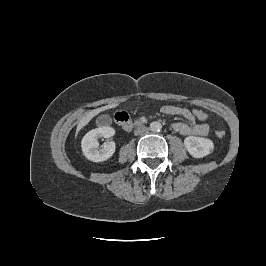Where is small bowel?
Listing matches in <instances>:
<instances>
[{
	"label": "small bowel",
	"instance_id": "1",
	"mask_svg": "<svg viewBox=\"0 0 266 266\" xmlns=\"http://www.w3.org/2000/svg\"><path fill=\"white\" fill-rule=\"evenodd\" d=\"M161 112L169 116H181L185 122H176L172 125L175 132L181 135H206L209 131L207 124L198 123L191 111L187 108L166 105L161 108Z\"/></svg>",
	"mask_w": 266,
	"mask_h": 266
}]
</instances>
